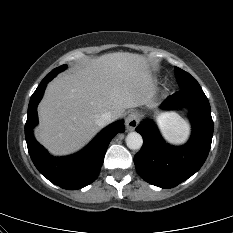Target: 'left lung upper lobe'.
Returning <instances> with one entry per match:
<instances>
[{
  "label": "left lung upper lobe",
  "instance_id": "1",
  "mask_svg": "<svg viewBox=\"0 0 233 233\" xmlns=\"http://www.w3.org/2000/svg\"><path fill=\"white\" fill-rule=\"evenodd\" d=\"M177 81L181 89H202L194 77L184 70L175 67Z\"/></svg>",
  "mask_w": 233,
  "mask_h": 233
}]
</instances>
